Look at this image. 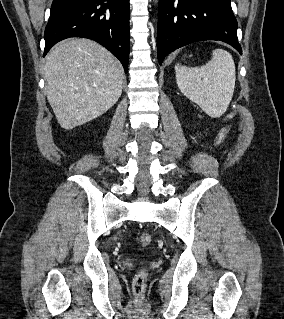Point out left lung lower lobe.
Masks as SVG:
<instances>
[{"label":"left lung lower lobe","instance_id":"1","mask_svg":"<svg viewBox=\"0 0 284 319\" xmlns=\"http://www.w3.org/2000/svg\"><path fill=\"white\" fill-rule=\"evenodd\" d=\"M202 40H220L240 54L237 21L230 0H160L157 55L159 64L170 52Z\"/></svg>","mask_w":284,"mask_h":319}]
</instances>
